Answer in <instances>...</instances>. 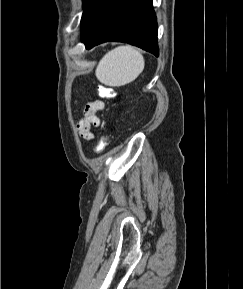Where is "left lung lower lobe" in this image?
Instances as JSON below:
<instances>
[{
    "instance_id": "0a47b994",
    "label": "left lung lower lobe",
    "mask_w": 243,
    "mask_h": 289,
    "mask_svg": "<svg viewBox=\"0 0 243 289\" xmlns=\"http://www.w3.org/2000/svg\"><path fill=\"white\" fill-rule=\"evenodd\" d=\"M81 32L87 49L120 41L159 55L152 0H90L84 7Z\"/></svg>"
}]
</instances>
